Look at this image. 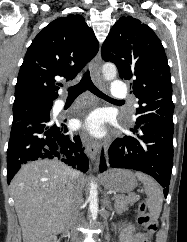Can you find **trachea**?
Masks as SVG:
<instances>
[{"instance_id":"3493384b","label":"trachea","mask_w":187,"mask_h":242,"mask_svg":"<svg viewBox=\"0 0 187 242\" xmlns=\"http://www.w3.org/2000/svg\"><path fill=\"white\" fill-rule=\"evenodd\" d=\"M86 90H89L90 92H92L93 94H95L96 96L103 98V99H110V100H114L117 101L109 96H107L106 94H104L103 92H101L91 81L90 78V73L87 70V72L84 74V76L82 77L81 81L75 85V86H71L68 88V98H76L77 96H79L81 93L85 92Z\"/></svg>"}]
</instances>
